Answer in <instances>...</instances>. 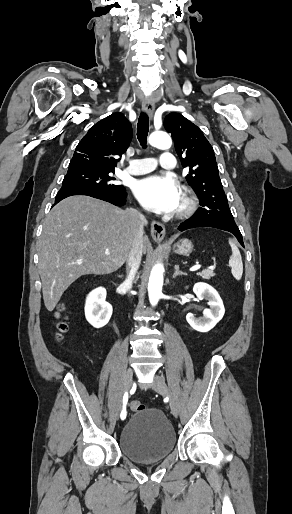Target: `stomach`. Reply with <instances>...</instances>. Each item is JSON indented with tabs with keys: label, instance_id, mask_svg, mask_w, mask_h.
Wrapping results in <instances>:
<instances>
[{
	"label": "stomach",
	"instance_id": "obj_1",
	"mask_svg": "<svg viewBox=\"0 0 292 514\" xmlns=\"http://www.w3.org/2000/svg\"><path fill=\"white\" fill-rule=\"evenodd\" d=\"M192 250L193 244L190 240H180V242L174 246L175 254H181V256H189Z\"/></svg>",
	"mask_w": 292,
	"mask_h": 514
}]
</instances>
